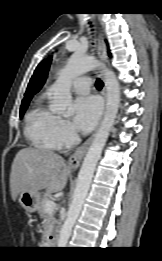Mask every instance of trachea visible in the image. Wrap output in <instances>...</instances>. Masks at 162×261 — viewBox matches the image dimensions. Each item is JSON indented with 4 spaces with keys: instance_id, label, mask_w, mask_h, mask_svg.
Masks as SVG:
<instances>
[{
    "instance_id": "obj_1",
    "label": "trachea",
    "mask_w": 162,
    "mask_h": 261,
    "mask_svg": "<svg viewBox=\"0 0 162 261\" xmlns=\"http://www.w3.org/2000/svg\"><path fill=\"white\" fill-rule=\"evenodd\" d=\"M96 87H97V89H102V87H103V82H102V80L97 79V81H96Z\"/></svg>"
}]
</instances>
